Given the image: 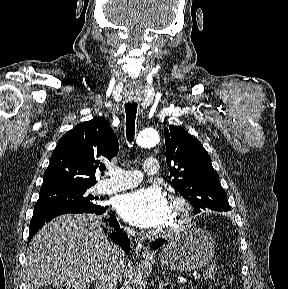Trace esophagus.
<instances>
[{"mask_svg": "<svg viewBox=\"0 0 288 289\" xmlns=\"http://www.w3.org/2000/svg\"><path fill=\"white\" fill-rule=\"evenodd\" d=\"M135 254L137 257L146 259V260L152 258V254L149 252L148 248L140 241L136 242Z\"/></svg>", "mask_w": 288, "mask_h": 289, "instance_id": "34e87169", "label": "esophagus"}]
</instances>
